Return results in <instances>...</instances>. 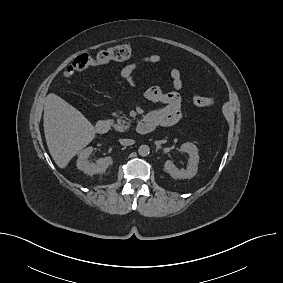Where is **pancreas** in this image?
Wrapping results in <instances>:
<instances>
[{
	"label": "pancreas",
	"instance_id": "pancreas-1",
	"mask_svg": "<svg viewBox=\"0 0 283 283\" xmlns=\"http://www.w3.org/2000/svg\"><path fill=\"white\" fill-rule=\"evenodd\" d=\"M117 118L116 120V124H114V128L115 130L119 131V132H123L127 129H129V125L131 120L128 119L125 115L119 117L118 115H115Z\"/></svg>",
	"mask_w": 283,
	"mask_h": 283
}]
</instances>
